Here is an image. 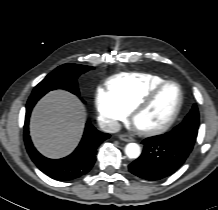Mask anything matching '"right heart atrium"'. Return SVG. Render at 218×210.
<instances>
[{
    "instance_id": "right-heart-atrium-1",
    "label": "right heart atrium",
    "mask_w": 218,
    "mask_h": 210,
    "mask_svg": "<svg viewBox=\"0 0 218 210\" xmlns=\"http://www.w3.org/2000/svg\"><path fill=\"white\" fill-rule=\"evenodd\" d=\"M95 106L100 121L110 131L117 130L129 115V110L109 90L104 88L96 91Z\"/></svg>"
}]
</instances>
